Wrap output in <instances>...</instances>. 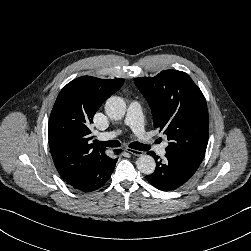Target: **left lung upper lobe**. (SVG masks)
Segmentation results:
<instances>
[{"label":"left lung upper lobe","instance_id":"5c2ea615","mask_svg":"<svg viewBox=\"0 0 251 251\" xmlns=\"http://www.w3.org/2000/svg\"><path fill=\"white\" fill-rule=\"evenodd\" d=\"M146 98L155 128L170 141L166 153L201 164L209 134V117L204 95L188 74L161 71L153 78H135Z\"/></svg>","mask_w":251,"mask_h":251}]
</instances>
